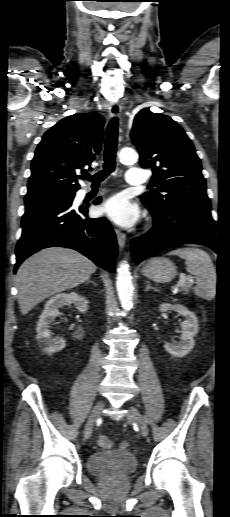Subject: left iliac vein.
Listing matches in <instances>:
<instances>
[{
  "mask_svg": "<svg viewBox=\"0 0 230 517\" xmlns=\"http://www.w3.org/2000/svg\"><path fill=\"white\" fill-rule=\"evenodd\" d=\"M127 418L130 422H135L139 426L143 436L146 437L149 434L147 422L136 407H129Z\"/></svg>",
  "mask_w": 230,
  "mask_h": 517,
  "instance_id": "obj_1",
  "label": "left iliac vein"
}]
</instances>
